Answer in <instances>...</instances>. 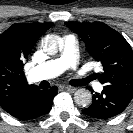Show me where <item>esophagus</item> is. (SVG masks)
Returning <instances> with one entry per match:
<instances>
[{
    "instance_id": "esophagus-1",
    "label": "esophagus",
    "mask_w": 133,
    "mask_h": 133,
    "mask_svg": "<svg viewBox=\"0 0 133 133\" xmlns=\"http://www.w3.org/2000/svg\"><path fill=\"white\" fill-rule=\"evenodd\" d=\"M65 88L68 90V91H70V92H74V91H76V87H73V86H65Z\"/></svg>"
}]
</instances>
